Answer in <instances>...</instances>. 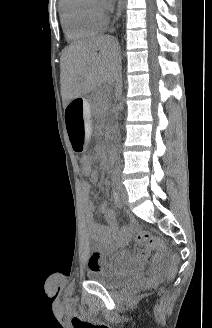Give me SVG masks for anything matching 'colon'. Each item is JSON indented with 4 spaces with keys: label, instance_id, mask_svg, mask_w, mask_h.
Listing matches in <instances>:
<instances>
[{
    "label": "colon",
    "instance_id": "obj_1",
    "mask_svg": "<svg viewBox=\"0 0 212 328\" xmlns=\"http://www.w3.org/2000/svg\"><path fill=\"white\" fill-rule=\"evenodd\" d=\"M93 158L90 153H81L79 157V169L89 172L93 169ZM132 238L142 247L148 249H155V259H161L167 255V247L158 236H154L147 231H137L132 233ZM100 255L95 252L91 255L89 263L90 265H97L100 262ZM179 265V258L176 255H170L167 260V270L170 275L174 274Z\"/></svg>",
    "mask_w": 212,
    "mask_h": 328
}]
</instances>
